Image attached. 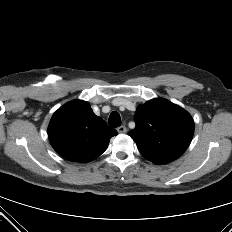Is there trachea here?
Instances as JSON below:
<instances>
[{"label": "trachea", "instance_id": "3493384b", "mask_svg": "<svg viewBox=\"0 0 232 232\" xmlns=\"http://www.w3.org/2000/svg\"><path fill=\"white\" fill-rule=\"evenodd\" d=\"M108 124L111 127H118L121 125V117L118 112H112L109 116Z\"/></svg>", "mask_w": 232, "mask_h": 232}]
</instances>
